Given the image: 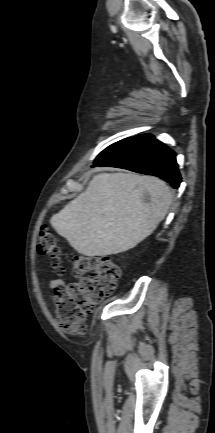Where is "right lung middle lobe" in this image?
<instances>
[{
	"label": "right lung middle lobe",
	"mask_w": 215,
	"mask_h": 433,
	"mask_svg": "<svg viewBox=\"0 0 215 433\" xmlns=\"http://www.w3.org/2000/svg\"><path fill=\"white\" fill-rule=\"evenodd\" d=\"M136 137L137 136H135V137H129V138L123 139L121 141H118V142L110 145L109 147H107L105 150H103L97 156L96 160L94 161V165L106 161L107 159H109L110 157H112L113 155H115L116 153H118L119 151H121L122 149H124Z\"/></svg>",
	"instance_id": "obj_1"
}]
</instances>
